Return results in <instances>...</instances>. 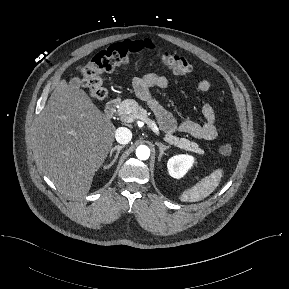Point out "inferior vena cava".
Wrapping results in <instances>:
<instances>
[{"instance_id": "602c4592", "label": "inferior vena cava", "mask_w": 289, "mask_h": 289, "mask_svg": "<svg viewBox=\"0 0 289 289\" xmlns=\"http://www.w3.org/2000/svg\"><path fill=\"white\" fill-rule=\"evenodd\" d=\"M115 138L120 144H128L132 139V132L126 127H119L115 131Z\"/></svg>"}]
</instances>
